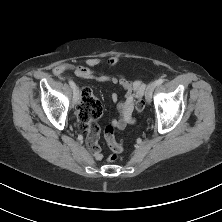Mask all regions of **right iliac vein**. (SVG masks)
Instances as JSON below:
<instances>
[{
	"mask_svg": "<svg viewBox=\"0 0 222 222\" xmlns=\"http://www.w3.org/2000/svg\"><path fill=\"white\" fill-rule=\"evenodd\" d=\"M79 99H80V92L79 89L76 87L73 95V103L77 104L79 102Z\"/></svg>",
	"mask_w": 222,
	"mask_h": 222,
	"instance_id": "obj_1",
	"label": "right iliac vein"
}]
</instances>
